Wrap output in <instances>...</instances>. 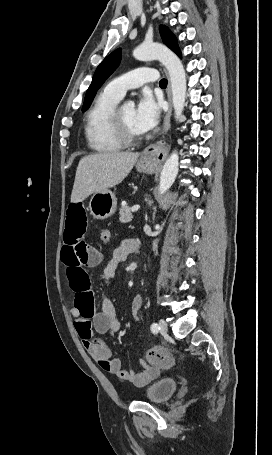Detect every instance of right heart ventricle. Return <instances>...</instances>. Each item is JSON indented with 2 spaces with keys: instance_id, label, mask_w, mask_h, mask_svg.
<instances>
[{
  "instance_id": "1",
  "label": "right heart ventricle",
  "mask_w": 272,
  "mask_h": 455,
  "mask_svg": "<svg viewBox=\"0 0 272 455\" xmlns=\"http://www.w3.org/2000/svg\"><path fill=\"white\" fill-rule=\"evenodd\" d=\"M120 100V97L106 88L88 110L84 132L87 145L93 152L110 154L123 149L124 146L114 136L110 124L111 113Z\"/></svg>"
}]
</instances>
